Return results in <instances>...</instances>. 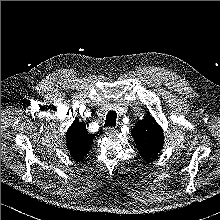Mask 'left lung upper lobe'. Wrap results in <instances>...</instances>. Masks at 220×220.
<instances>
[{"mask_svg":"<svg viewBox=\"0 0 220 220\" xmlns=\"http://www.w3.org/2000/svg\"><path fill=\"white\" fill-rule=\"evenodd\" d=\"M132 136L141 157L146 160L156 157L164 144L163 130L150 114L137 122Z\"/></svg>","mask_w":220,"mask_h":220,"instance_id":"5c2ea615","label":"left lung upper lobe"}]
</instances>
